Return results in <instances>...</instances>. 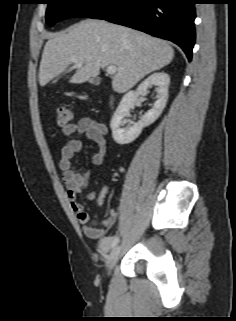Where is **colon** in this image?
Wrapping results in <instances>:
<instances>
[{"label": "colon", "mask_w": 236, "mask_h": 321, "mask_svg": "<svg viewBox=\"0 0 236 321\" xmlns=\"http://www.w3.org/2000/svg\"><path fill=\"white\" fill-rule=\"evenodd\" d=\"M56 119H57V124L62 127L71 121V113L66 107H63V106L57 107Z\"/></svg>", "instance_id": "colon-1"}]
</instances>
